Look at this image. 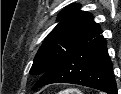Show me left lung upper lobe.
Returning <instances> with one entry per match:
<instances>
[{
  "label": "left lung upper lobe",
  "mask_w": 121,
  "mask_h": 94,
  "mask_svg": "<svg viewBox=\"0 0 121 94\" xmlns=\"http://www.w3.org/2000/svg\"><path fill=\"white\" fill-rule=\"evenodd\" d=\"M58 19L59 23L49 33L35 56L30 69L32 75H43L62 58L102 33L93 16L81 11L78 4L66 7Z\"/></svg>",
  "instance_id": "left-lung-upper-lobe-1"
}]
</instances>
